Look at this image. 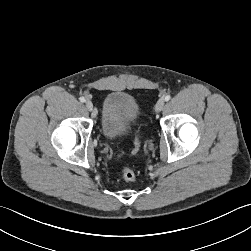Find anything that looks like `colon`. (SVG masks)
I'll return each instance as SVG.
<instances>
[{"label": "colon", "mask_w": 251, "mask_h": 251, "mask_svg": "<svg viewBox=\"0 0 251 251\" xmlns=\"http://www.w3.org/2000/svg\"><path fill=\"white\" fill-rule=\"evenodd\" d=\"M139 145H140V138L138 136L137 139H136L135 150H137ZM122 177L126 182H132V181H134L136 179V173L131 168L124 167L122 169Z\"/></svg>", "instance_id": "1"}]
</instances>
